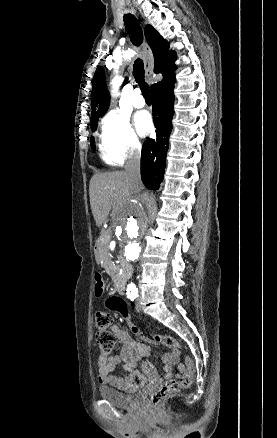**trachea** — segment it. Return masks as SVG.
<instances>
[{
	"mask_svg": "<svg viewBox=\"0 0 277 438\" xmlns=\"http://www.w3.org/2000/svg\"><path fill=\"white\" fill-rule=\"evenodd\" d=\"M124 24L133 45L139 47L143 42V31L137 18L132 14L124 15ZM144 64L141 58H137L133 65V76L141 88L145 100H151L149 85L145 82Z\"/></svg>",
	"mask_w": 277,
	"mask_h": 438,
	"instance_id": "obj_1",
	"label": "trachea"
}]
</instances>
